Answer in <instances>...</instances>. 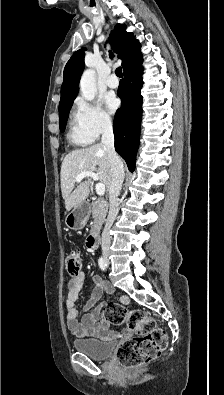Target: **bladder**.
<instances>
[{
  "instance_id": "31cf9c89",
  "label": "bladder",
  "mask_w": 224,
  "mask_h": 395,
  "mask_svg": "<svg viewBox=\"0 0 224 395\" xmlns=\"http://www.w3.org/2000/svg\"><path fill=\"white\" fill-rule=\"evenodd\" d=\"M113 341L98 339H75L73 347L77 352L87 355L94 360H104L111 356L114 349Z\"/></svg>"
}]
</instances>
